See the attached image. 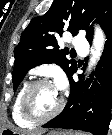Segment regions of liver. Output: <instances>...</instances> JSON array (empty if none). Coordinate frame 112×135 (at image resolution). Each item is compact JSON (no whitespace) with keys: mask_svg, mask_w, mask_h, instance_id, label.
<instances>
[{"mask_svg":"<svg viewBox=\"0 0 112 135\" xmlns=\"http://www.w3.org/2000/svg\"><path fill=\"white\" fill-rule=\"evenodd\" d=\"M15 131H17V130L15 129ZM43 132H44V131L41 130V131H39V132H37V133L41 134V133H43ZM37 133H36V132H21V135H36Z\"/></svg>","mask_w":112,"mask_h":135,"instance_id":"liver-1","label":"liver"}]
</instances>
